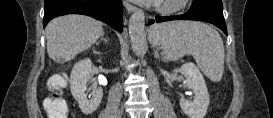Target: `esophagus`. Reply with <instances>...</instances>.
I'll list each match as a JSON object with an SVG mask.
<instances>
[{
	"instance_id": "1",
	"label": "esophagus",
	"mask_w": 273,
	"mask_h": 118,
	"mask_svg": "<svg viewBox=\"0 0 273 118\" xmlns=\"http://www.w3.org/2000/svg\"><path fill=\"white\" fill-rule=\"evenodd\" d=\"M124 6H125L128 13L137 11V7H135L134 5H132V4L128 3V2H124Z\"/></svg>"
}]
</instances>
